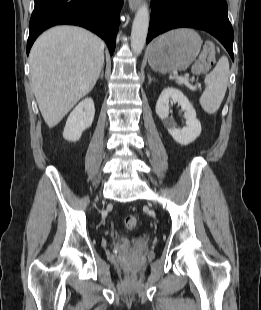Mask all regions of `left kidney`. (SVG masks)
Returning a JSON list of instances; mask_svg holds the SVG:
<instances>
[{
	"instance_id": "obj_1",
	"label": "left kidney",
	"mask_w": 261,
	"mask_h": 310,
	"mask_svg": "<svg viewBox=\"0 0 261 310\" xmlns=\"http://www.w3.org/2000/svg\"><path fill=\"white\" fill-rule=\"evenodd\" d=\"M169 102L178 103L181 106L186 119L185 127L177 129L169 119ZM156 114L161 118L172 138L181 145L192 143L201 134V124L196 118L195 109L187 97L176 88L168 87L161 92L156 103Z\"/></svg>"
}]
</instances>
